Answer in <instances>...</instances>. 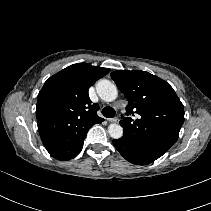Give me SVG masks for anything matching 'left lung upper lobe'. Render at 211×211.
I'll use <instances>...</instances> for the list:
<instances>
[{
  "label": "left lung upper lobe",
  "instance_id": "5c2ea615",
  "mask_svg": "<svg viewBox=\"0 0 211 211\" xmlns=\"http://www.w3.org/2000/svg\"><path fill=\"white\" fill-rule=\"evenodd\" d=\"M112 79L128 100L120 121L124 136L148 156L158 159L176 142L184 122L183 104L173 88L161 78L140 70H118Z\"/></svg>",
  "mask_w": 211,
  "mask_h": 211
}]
</instances>
